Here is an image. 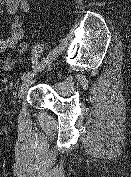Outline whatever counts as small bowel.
<instances>
[{
    "label": "small bowel",
    "instance_id": "1",
    "mask_svg": "<svg viewBox=\"0 0 131 177\" xmlns=\"http://www.w3.org/2000/svg\"><path fill=\"white\" fill-rule=\"evenodd\" d=\"M7 13L11 18L9 24L10 35L3 39L0 38V52L8 48L15 47L23 39L25 31L21 23V14L27 13L30 9L27 0H5ZM20 52L27 49L26 43L20 44Z\"/></svg>",
    "mask_w": 131,
    "mask_h": 177
}]
</instances>
